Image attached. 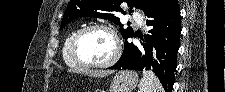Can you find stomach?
Listing matches in <instances>:
<instances>
[{"mask_svg":"<svg viewBox=\"0 0 225 92\" xmlns=\"http://www.w3.org/2000/svg\"><path fill=\"white\" fill-rule=\"evenodd\" d=\"M138 84V75L134 71H119L112 79L108 92H132Z\"/></svg>","mask_w":225,"mask_h":92,"instance_id":"0dacf381","label":"stomach"}]
</instances>
